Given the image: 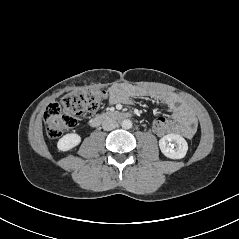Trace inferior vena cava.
<instances>
[{"label":"inferior vena cava","mask_w":239,"mask_h":239,"mask_svg":"<svg viewBox=\"0 0 239 239\" xmlns=\"http://www.w3.org/2000/svg\"><path fill=\"white\" fill-rule=\"evenodd\" d=\"M118 126L117 122L114 119L111 118H106L103 122H102V128L105 131H110L115 129Z\"/></svg>","instance_id":"obj_1"}]
</instances>
